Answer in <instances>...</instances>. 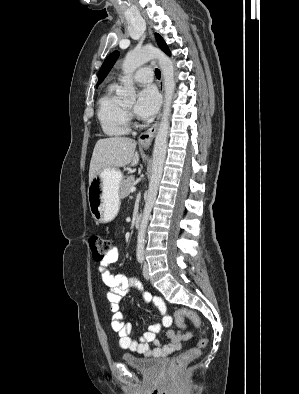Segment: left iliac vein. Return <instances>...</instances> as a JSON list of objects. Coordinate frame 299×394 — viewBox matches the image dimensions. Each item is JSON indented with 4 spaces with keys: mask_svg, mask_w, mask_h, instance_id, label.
Returning <instances> with one entry per match:
<instances>
[{
    "mask_svg": "<svg viewBox=\"0 0 299 394\" xmlns=\"http://www.w3.org/2000/svg\"><path fill=\"white\" fill-rule=\"evenodd\" d=\"M143 276L145 279H149L150 275H149V267L148 264L145 262L143 265Z\"/></svg>",
    "mask_w": 299,
    "mask_h": 394,
    "instance_id": "1",
    "label": "left iliac vein"
}]
</instances>
